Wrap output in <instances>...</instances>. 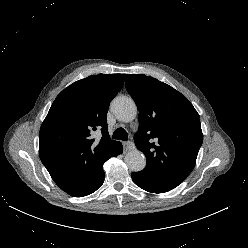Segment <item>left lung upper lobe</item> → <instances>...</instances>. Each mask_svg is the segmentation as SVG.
Segmentation results:
<instances>
[{
	"label": "left lung upper lobe",
	"instance_id": "left-lung-upper-lobe-1",
	"mask_svg": "<svg viewBox=\"0 0 248 248\" xmlns=\"http://www.w3.org/2000/svg\"><path fill=\"white\" fill-rule=\"evenodd\" d=\"M126 89L139 110L136 147L147 159L141 171L154 185L174 189L195 166L203 141L200 117L177 90L144 74H128Z\"/></svg>",
	"mask_w": 248,
	"mask_h": 248
}]
</instances>
